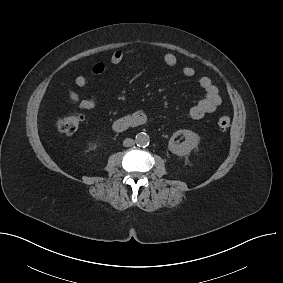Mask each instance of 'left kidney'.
I'll list each match as a JSON object with an SVG mask.
<instances>
[{
  "label": "left kidney",
  "mask_w": 283,
  "mask_h": 283,
  "mask_svg": "<svg viewBox=\"0 0 283 283\" xmlns=\"http://www.w3.org/2000/svg\"><path fill=\"white\" fill-rule=\"evenodd\" d=\"M178 135H183L185 137V141L178 144L174 141V139ZM200 141V137L191 130H178L176 131L168 143V149L177 156H186L190 154V152L198 146Z\"/></svg>",
  "instance_id": "left-kidney-1"
}]
</instances>
